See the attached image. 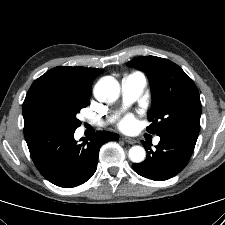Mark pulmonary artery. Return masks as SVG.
Wrapping results in <instances>:
<instances>
[{
  "label": "pulmonary artery",
  "instance_id": "e3ab8cb5",
  "mask_svg": "<svg viewBox=\"0 0 225 225\" xmlns=\"http://www.w3.org/2000/svg\"><path fill=\"white\" fill-rule=\"evenodd\" d=\"M122 96L125 103L129 104L137 100L143 93L146 87V78L140 72H135L125 76L122 79ZM160 141L159 137H156L154 143L157 144Z\"/></svg>",
  "mask_w": 225,
  "mask_h": 225
}]
</instances>
